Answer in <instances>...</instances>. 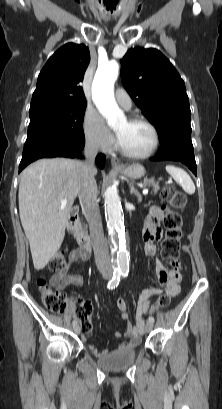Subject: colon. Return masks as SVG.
<instances>
[{
  "mask_svg": "<svg viewBox=\"0 0 222 409\" xmlns=\"http://www.w3.org/2000/svg\"><path fill=\"white\" fill-rule=\"evenodd\" d=\"M160 196L166 203L163 217V226L165 236L161 244V251L165 258L170 260L172 256H179L180 244L183 237L182 218L178 211L184 210L187 205V198L184 193L177 190L170 184H164L161 188ZM65 251L57 252L49 263L52 271H61L66 266ZM37 285L40 289L41 298L44 306L56 313H62L66 310L68 301L66 296L58 290H54L45 279H39ZM171 296L167 293L158 298L157 304L146 310L147 314H155L156 310H162L170 302ZM76 314L81 322L83 334L88 336L91 333V309L88 304L80 305Z\"/></svg>",
  "mask_w": 222,
  "mask_h": 409,
  "instance_id": "5ec220e1",
  "label": "colon"
}]
</instances>
